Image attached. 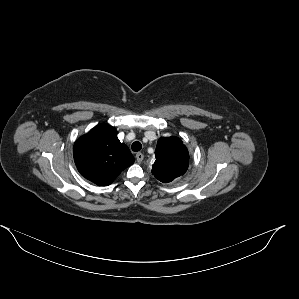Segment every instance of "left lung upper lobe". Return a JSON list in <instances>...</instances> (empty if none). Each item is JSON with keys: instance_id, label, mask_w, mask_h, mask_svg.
<instances>
[{"instance_id": "1", "label": "left lung upper lobe", "mask_w": 299, "mask_h": 299, "mask_svg": "<svg viewBox=\"0 0 299 299\" xmlns=\"http://www.w3.org/2000/svg\"><path fill=\"white\" fill-rule=\"evenodd\" d=\"M156 161L152 174L161 182L168 183L185 174L189 165V153L183 142L175 137H162L155 150Z\"/></svg>"}]
</instances>
